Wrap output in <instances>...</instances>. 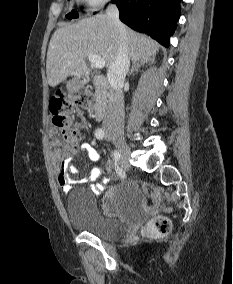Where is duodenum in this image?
<instances>
[{"label": "duodenum", "instance_id": "obj_1", "mask_svg": "<svg viewBox=\"0 0 233 284\" xmlns=\"http://www.w3.org/2000/svg\"><path fill=\"white\" fill-rule=\"evenodd\" d=\"M88 77H83L86 81ZM94 84L96 86V105L93 110V117L95 120L100 121L104 118L109 105V87L108 82L104 76L93 77Z\"/></svg>", "mask_w": 233, "mask_h": 284}]
</instances>
